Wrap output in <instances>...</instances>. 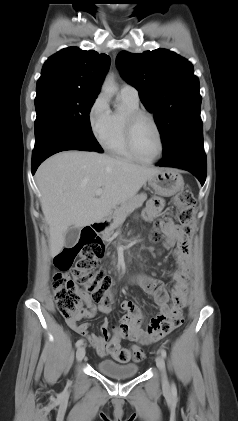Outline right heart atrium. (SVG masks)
I'll list each match as a JSON object with an SVG mask.
<instances>
[{"instance_id":"1","label":"right heart atrium","mask_w":238,"mask_h":421,"mask_svg":"<svg viewBox=\"0 0 238 421\" xmlns=\"http://www.w3.org/2000/svg\"><path fill=\"white\" fill-rule=\"evenodd\" d=\"M110 114L106 97L99 94L91 103L87 118L92 133L100 142L108 131Z\"/></svg>"}]
</instances>
